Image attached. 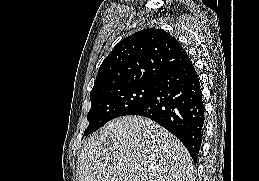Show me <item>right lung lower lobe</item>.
I'll return each mask as SVG.
<instances>
[{"label":"right lung lower lobe","mask_w":259,"mask_h":181,"mask_svg":"<svg viewBox=\"0 0 259 181\" xmlns=\"http://www.w3.org/2000/svg\"><path fill=\"white\" fill-rule=\"evenodd\" d=\"M148 100L130 115L148 117L175 135L194 162L200 150L204 106L198 74L188 57L160 75Z\"/></svg>","instance_id":"98d812e1"}]
</instances>
